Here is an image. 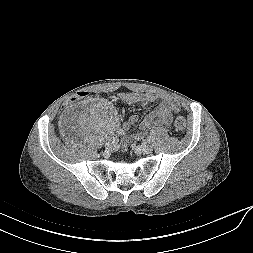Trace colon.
<instances>
[{
	"instance_id": "obj_1",
	"label": "colon",
	"mask_w": 253,
	"mask_h": 253,
	"mask_svg": "<svg viewBox=\"0 0 253 253\" xmlns=\"http://www.w3.org/2000/svg\"><path fill=\"white\" fill-rule=\"evenodd\" d=\"M89 98V93L87 91H78V92H74L71 96H70V100H66L63 103V108L65 110H70L73 107V103H77L80 100H87ZM186 120L184 117L182 116H178L175 118L174 121V126L175 129L178 132H185L186 130Z\"/></svg>"
}]
</instances>
